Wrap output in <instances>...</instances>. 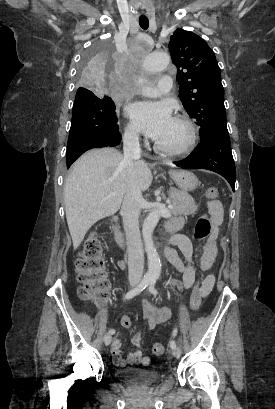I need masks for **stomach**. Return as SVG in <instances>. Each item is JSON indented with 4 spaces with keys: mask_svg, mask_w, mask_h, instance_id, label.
Segmentation results:
<instances>
[{
    "mask_svg": "<svg viewBox=\"0 0 275 409\" xmlns=\"http://www.w3.org/2000/svg\"><path fill=\"white\" fill-rule=\"evenodd\" d=\"M171 178L180 190H194L198 186V178L190 170H169Z\"/></svg>",
    "mask_w": 275,
    "mask_h": 409,
    "instance_id": "0dacf381",
    "label": "stomach"
}]
</instances>
